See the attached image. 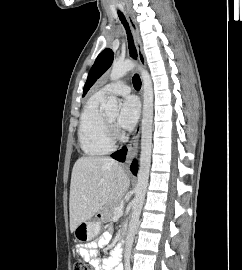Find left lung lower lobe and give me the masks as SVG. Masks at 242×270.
<instances>
[{"instance_id": "left-lung-lower-lobe-1", "label": "left lung lower lobe", "mask_w": 242, "mask_h": 270, "mask_svg": "<svg viewBox=\"0 0 242 270\" xmlns=\"http://www.w3.org/2000/svg\"><path fill=\"white\" fill-rule=\"evenodd\" d=\"M127 154V148H123L113 154H111V157H113L114 159L123 162L125 160Z\"/></svg>"}]
</instances>
